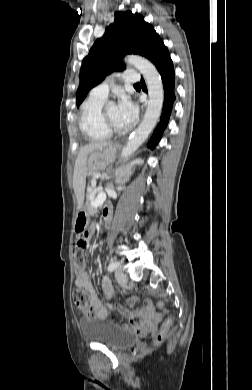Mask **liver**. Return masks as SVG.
Listing matches in <instances>:
<instances>
[{"instance_id": "liver-1", "label": "liver", "mask_w": 252, "mask_h": 390, "mask_svg": "<svg viewBox=\"0 0 252 390\" xmlns=\"http://www.w3.org/2000/svg\"><path fill=\"white\" fill-rule=\"evenodd\" d=\"M108 142H92L84 147H82L78 153L77 159L75 161L74 173H73V188L78 199L79 204L81 205L84 198L85 183H86V162L90 153L101 150L104 147L109 146Z\"/></svg>"}]
</instances>
